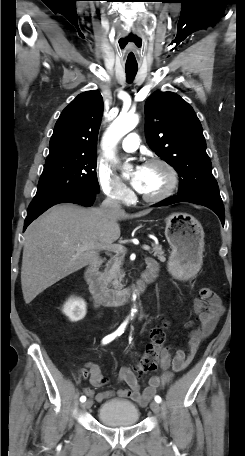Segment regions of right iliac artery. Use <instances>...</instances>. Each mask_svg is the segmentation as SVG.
I'll use <instances>...</instances> for the list:
<instances>
[{"instance_id":"obj_1","label":"right iliac artery","mask_w":245,"mask_h":456,"mask_svg":"<svg viewBox=\"0 0 245 456\" xmlns=\"http://www.w3.org/2000/svg\"><path fill=\"white\" fill-rule=\"evenodd\" d=\"M126 325H127V321H124L115 332H113L103 338L102 344H104V345L108 344L109 342L113 341L116 337L121 336L125 331ZM80 401L85 402L86 397L81 396Z\"/></svg>"}]
</instances>
